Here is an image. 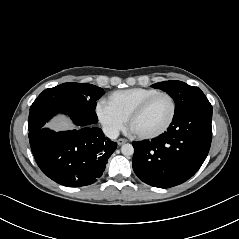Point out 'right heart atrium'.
<instances>
[{"label":"right heart atrium","instance_id":"right-heart-atrium-1","mask_svg":"<svg viewBox=\"0 0 239 239\" xmlns=\"http://www.w3.org/2000/svg\"><path fill=\"white\" fill-rule=\"evenodd\" d=\"M97 115L105 130L113 136L118 134L126 122L123 116L108 107L105 102L98 104Z\"/></svg>","mask_w":239,"mask_h":239}]
</instances>
